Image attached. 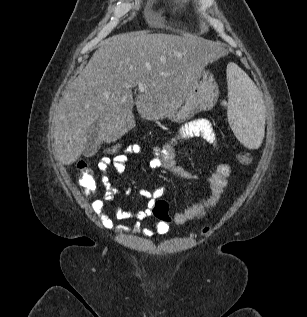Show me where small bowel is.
<instances>
[{
    "label": "small bowel",
    "mask_w": 307,
    "mask_h": 317,
    "mask_svg": "<svg viewBox=\"0 0 307 317\" xmlns=\"http://www.w3.org/2000/svg\"><path fill=\"white\" fill-rule=\"evenodd\" d=\"M200 137L205 141L216 144L217 135L212 123L206 118H199L184 124L176 134V136L168 139L162 145H157L152 148V158L149 162L151 169L164 168L182 180H196L198 177L176 163L173 152L179 140ZM139 144H132L129 149V154H139L141 152ZM128 157L110 158L103 156L99 163L98 169L101 174V182L105 189L102 198L97 199L91 203V208L100 219L102 225L106 229L123 230V226H114L113 220L105 209V204L108 201H114L116 196L120 193L118 189L109 180V170L111 167L118 173H123L126 170ZM232 168L228 163L219 164L215 171L207 176L208 193L196 204L188 207L183 212L176 213L173 217L175 224H184L190 220L199 219L203 217L211 208H213L219 201L224 188L228 183V178L231 175ZM130 190H126L124 194H129ZM165 193L163 186L157 187L153 190L140 189L139 194L144 197L146 208L137 212H128L117 209L115 215L119 220L135 219L133 226L134 232L142 231L145 236H151L153 229L144 227L141 229L140 222L152 215V209L156 200L162 197ZM156 232L165 234L169 230V226L165 222H157L155 226Z\"/></svg>",
    "instance_id": "c3829d8e"
}]
</instances>
